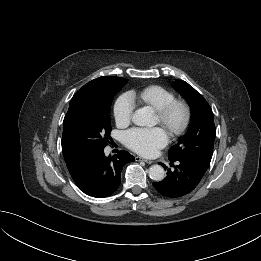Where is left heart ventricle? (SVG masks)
Masks as SVG:
<instances>
[{"mask_svg": "<svg viewBox=\"0 0 261 261\" xmlns=\"http://www.w3.org/2000/svg\"><path fill=\"white\" fill-rule=\"evenodd\" d=\"M156 120H157V122H159V120H158V117H157V119H156Z\"/></svg>", "mask_w": 261, "mask_h": 261, "instance_id": "obj_1", "label": "left heart ventricle"}]
</instances>
